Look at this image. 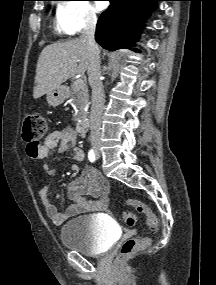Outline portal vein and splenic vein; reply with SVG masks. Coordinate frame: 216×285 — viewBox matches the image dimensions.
<instances>
[{"mask_svg": "<svg viewBox=\"0 0 216 285\" xmlns=\"http://www.w3.org/2000/svg\"><path fill=\"white\" fill-rule=\"evenodd\" d=\"M83 84H84V80H83L82 78L77 79V80L75 81V85H76L77 87H80V86H82Z\"/></svg>", "mask_w": 216, "mask_h": 285, "instance_id": "obj_1", "label": "portal vein and splenic vein"}]
</instances>
